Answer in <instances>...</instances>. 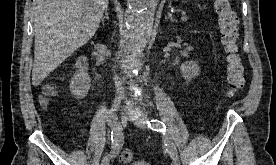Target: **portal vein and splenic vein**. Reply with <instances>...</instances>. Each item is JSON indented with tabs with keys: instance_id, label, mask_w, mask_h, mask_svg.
<instances>
[{
	"instance_id": "1",
	"label": "portal vein and splenic vein",
	"mask_w": 276,
	"mask_h": 165,
	"mask_svg": "<svg viewBox=\"0 0 276 165\" xmlns=\"http://www.w3.org/2000/svg\"><path fill=\"white\" fill-rule=\"evenodd\" d=\"M188 18H187V16H186V13H182V20L183 21H186Z\"/></svg>"
}]
</instances>
